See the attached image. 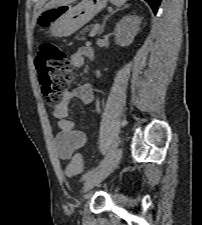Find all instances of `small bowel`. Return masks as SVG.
<instances>
[{
  "label": "small bowel",
  "instance_id": "small-bowel-1",
  "mask_svg": "<svg viewBox=\"0 0 202 225\" xmlns=\"http://www.w3.org/2000/svg\"><path fill=\"white\" fill-rule=\"evenodd\" d=\"M93 56V50L90 46L85 45L77 49L70 57L71 64L80 68L83 66L85 59ZM94 93L90 86L81 85L72 91L64 94L61 102L53 108V116L57 120L59 133L55 138L56 153L59 158L64 160H78L81 165L82 161L77 152L86 143L85 134L77 128L76 121L69 117V106L73 99H78L85 104L93 101Z\"/></svg>",
  "mask_w": 202,
  "mask_h": 225
}]
</instances>
